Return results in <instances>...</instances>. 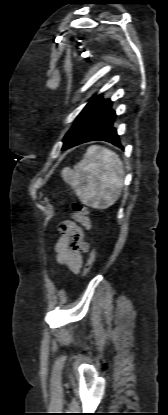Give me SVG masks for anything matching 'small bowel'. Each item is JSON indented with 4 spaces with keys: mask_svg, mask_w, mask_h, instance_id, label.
I'll return each instance as SVG.
<instances>
[{
    "mask_svg": "<svg viewBox=\"0 0 168 415\" xmlns=\"http://www.w3.org/2000/svg\"><path fill=\"white\" fill-rule=\"evenodd\" d=\"M75 219L86 228L91 223L86 215L74 214ZM63 235L56 242L54 251L59 264L68 267L77 273L83 265V252L89 250V244L83 239V232L80 227L72 222H65L60 225Z\"/></svg>",
    "mask_w": 168,
    "mask_h": 415,
    "instance_id": "1",
    "label": "small bowel"
}]
</instances>
